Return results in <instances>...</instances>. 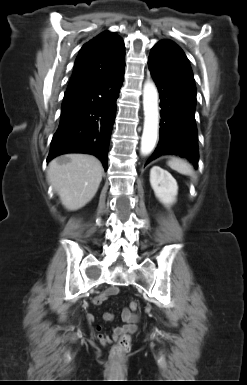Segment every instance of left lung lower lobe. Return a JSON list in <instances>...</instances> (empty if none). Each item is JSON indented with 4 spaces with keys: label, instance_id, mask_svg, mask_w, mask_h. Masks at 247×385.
<instances>
[{
    "label": "left lung lower lobe",
    "instance_id": "obj_1",
    "mask_svg": "<svg viewBox=\"0 0 247 385\" xmlns=\"http://www.w3.org/2000/svg\"><path fill=\"white\" fill-rule=\"evenodd\" d=\"M148 67L160 94L161 121L159 144L147 164L175 154L197 167L196 87L189 61L178 45L163 40L152 48Z\"/></svg>",
    "mask_w": 247,
    "mask_h": 385
}]
</instances>
